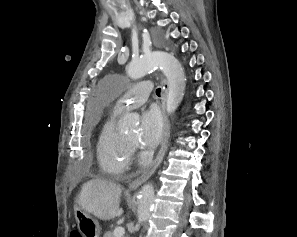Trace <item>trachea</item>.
Instances as JSON below:
<instances>
[{
	"instance_id": "1",
	"label": "trachea",
	"mask_w": 297,
	"mask_h": 237,
	"mask_svg": "<svg viewBox=\"0 0 297 237\" xmlns=\"http://www.w3.org/2000/svg\"><path fill=\"white\" fill-rule=\"evenodd\" d=\"M156 94H157L158 96H160V94H161V88H158V89L156 90Z\"/></svg>"
}]
</instances>
